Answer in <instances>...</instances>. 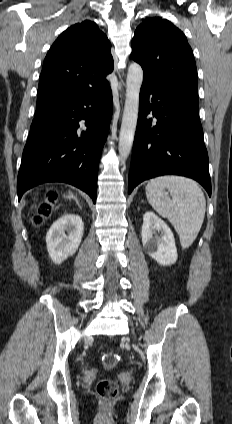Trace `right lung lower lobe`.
<instances>
[{
    "mask_svg": "<svg viewBox=\"0 0 232 424\" xmlns=\"http://www.w3.org/2000/svg\"><path fill=\"white\" fill-rule=\"evenodd\" d=\"M84 105L87 107L84 109ZM113 110L111 88L37 106L17 180L18 199L44 182H66L96 202L97 174ZM87 120L80 132L79 120Z\"/></svg>",
    "mask_w": 232,
    "mask_h": 424,
    "instance_id": "obj_1",
    "label": "right lung lower lobe"
}]
</instances>
